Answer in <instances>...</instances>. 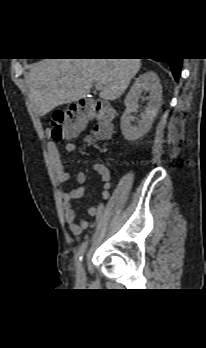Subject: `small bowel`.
Masks as SVG:
<instances>
[{"instance_id": "c3829d8e", "label": "small bowel", "mask_w": 206, "mask_h": 348, "mask_svg": "<svg viewBox=\"0 0 206 348\" xmlns=\"http://www.w3.org/2000/svg\"><path fill=\"white\" fill-rule=\"evenodd\" d=\"M66 150L68 152H76L77 146L75 144H67ZM49 156L53 165L54 174L56 180L59 183H65L68 181L70 174L68 166L62 158L61 152L55 144L49 146ZM94 171L101 178L103 185L101 189V198L107 200L110 196L109 190L111 188V174L109 168L102 162L96 161L93 163ZM79 187L66 190L62 194L64 217L68 224V227L73 235L78 236L89 226V218L98 216L103 210L104 204L99 203L98 205H92L87 209V214L79 221L75 219V211L72 207V202L75 199L82 197L85 194L84 184L87 181L85 173H78L76 177Z\"/></svg>"}]
</instances>
